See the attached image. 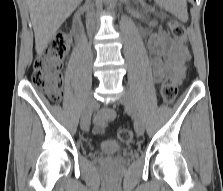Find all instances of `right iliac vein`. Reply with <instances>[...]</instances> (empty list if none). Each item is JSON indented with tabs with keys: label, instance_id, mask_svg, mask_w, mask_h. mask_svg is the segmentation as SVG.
<instances>
[{
	"label": "right iliac vein",
	"instance_id": "obj_1",
	"mask_svg": "<svg viewBox=\"0 0 223 191\" xmlns=\"http://www.w3.org/2000/svg\"><path fill=\"white\" fill-rule=\"evenodd\" d=\"M95 103H96L95 98L93 94L91 93L86 99L84 109L82 112V117H81V128L84 131H87L89 129L91 114L95 107Z\"/></svg>",
	"mask_w": 223,
	"mask_h": 191
}]
</instances>
